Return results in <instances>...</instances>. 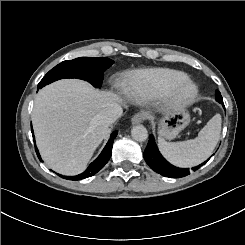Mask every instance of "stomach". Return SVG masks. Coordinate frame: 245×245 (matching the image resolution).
<instances>
[{"label": "stomach", "instance_id": "1", "mask_svg": "<svg viewBox=\"0 0 245 245\" xmlns=\"http://www.w3.org/2000/svg\"><path fill=\"white\" fill-rule=\"evenodd\" d=\"M154 117H151L153 120ZM190 123V115L186 110L171 111L165 114L158 123V133L161 137L174 139Z\"/></svg>", "mask_w": 245, "mask_h": 245}]
</instances>
